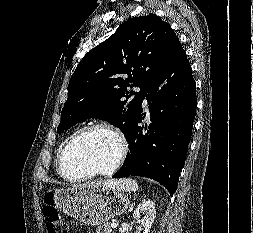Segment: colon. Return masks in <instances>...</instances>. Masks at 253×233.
<instances>
[{"instance_id":"colon-1","label":"colon","mask_w":253,"mask_h":233,"mask_svg":"<svg viewBox=\"0 0 253 233\" xmlns=\"http://www.w3.org/2000/svg\"><path fill=\"white\" fill-rule=\"evenodd\" d=\"M43 215L48 233H67V227L54 203V194L45 196Z\"/></svg>"}]
</instances>
